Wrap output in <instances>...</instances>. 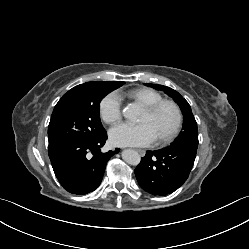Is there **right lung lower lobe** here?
Listing matches in <instances>:
<instances>
[{"instance_id": "98d812e1", "label": "right lung lower lobe", "mask_w": 249, "mask_h": 249, "mask_svg": "<svg viewBox=\"0 0 249 249\" xmlns=\"http://www.w3.org/2000/svg\"><path fill=\"white\" fill-rule=\"evenodd\" d=\"M107 133L89 141H76L48 151L54 173L70 193L84 195L94 191L102 181L107 161L120 149L102 153Z\"/></svg>"}]
</instances>
